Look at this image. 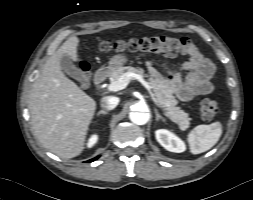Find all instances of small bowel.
<instances>
[{
	"label": "small bowel",
	"mask_w": 253,
	"mask_h": 200,
	"mask_svg": "<svg viewBox=\"0 0 253 200\" xmlns=\"http://www.w3.org/2000/svg\"><path fill=\"white\" fill-rule=\"evenodd\" d=\"M147 65L151 71L154 70L152 62H148ZM167 73L176 94L182 101H191L195 97L212 91L214 65L195 47L191 51L190 59L183 64L180 72L167 68Z\"/></svg>",
	"instance_id": "c3829d8e"
}]
</instances>
